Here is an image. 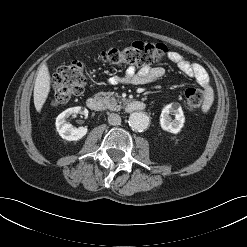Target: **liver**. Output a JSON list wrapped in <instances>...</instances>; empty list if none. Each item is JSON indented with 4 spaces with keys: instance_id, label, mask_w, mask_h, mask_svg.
<instances>
[{
    "instance_id": "1",
    "label": "liver",
    "mask_w": 247,
    "mask_h": 247,
    "mask_svg": "<svg viewBox=\"0 0 247 247\" xmlns=\"http://www.w3.org/2000/svg\"><path fill=\"white\" fill-rule=\"evenodd\" d=\"M51 77L46 64H43L37 74L34 85V105L37 112L41 109L46 102L50 92Z\"/></svg>"
}]
</instances>
